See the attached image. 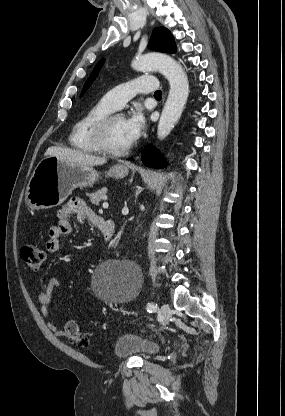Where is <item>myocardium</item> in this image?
<instances>
[{
  "label": "myocardium",
  "mask_w": 285,
  "mask_h": 416,
  "mask_svg": "<svg viewBox=\"0 0 285 416\" xmlns=\"http://www.w3.org/2000/svg\"><path fill=\"white\" fill-rule=\"evenodd\" d=\"M116 117H122V115L113 112L107 113L94 124L91 132L93 144L98 152L115 157L124 155L131 148V145L129 144L122 149H113L107 143L106 133L108 126Z\"/></svg>",
  "instance_id": "f54148a6"
}]
</instances>
